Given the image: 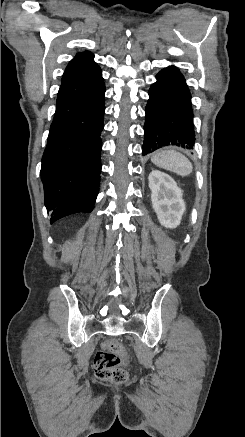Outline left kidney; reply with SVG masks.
<instances>
[{
  "label": "left kidney",
  "instance_id": "left-kidney-1",
  "mask_svg": "<svg viewBox=\"0 0 245 437\" xmlns=\"http://www.w3.org/2000/svg\"><path fill=\"white\" fill-rule=\"evenodd\" d=\"M148 180L152 207L160 224L166 228H176L186 209L183 191L171 176L159 170H152Z\"/></svg>",
  "mask_w": 245,
  "mask_h": 437
}]
</instances>
